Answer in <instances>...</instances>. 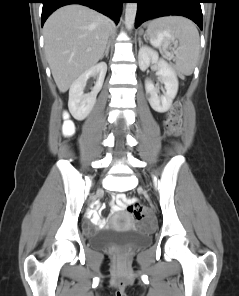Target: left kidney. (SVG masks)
Returning a JSON list of instances; mask_svg holds the SVG:
<instances>
[{
    "label": "left kidney",
    "instance_id": "1",
    "mask_svg": "<svg viewBox=\"0 0 239 296\" xmlns=\"http://www.w3.org/2000/svg\"><path fill=\"white\" fill-rule=\"evenodd\" d=\"M138 62L142 71H145L150 64H157V74L164 84L165 92L159 96V89L149 79L145 80V90L149 95L148 100L153 110L158 113L168 111L178 92V79L175 71L164 59L159 58L157 51L148 46L140 47Z\"/></svg>",
    "mask_w": 239,
    "mask_h": 296
}]
</instances>
